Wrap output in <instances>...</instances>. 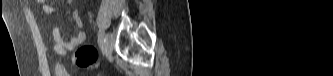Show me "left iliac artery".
<instances>
[{
	"label": "left iliac artery",
	"instance_id": "obj_1",
	"mask_svg": "<svg viewBox=\"0 0 333 76\" xmlns=\"http://www.w3.org/2000/svg\"><path fill=\"white\" fill-rule=\"evenodd\" d=\"M104 42H105L104 34H103V32L100 31L99 34H98V44H99V46H103Z\"/></svg>",
	"mask_w": 333,
	"mask_h": 76
}]
</instances>
